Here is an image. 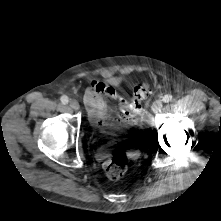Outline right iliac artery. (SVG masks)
<instances>
[{"instance_id":"82829eb1","label":"right iliac artery","mask_w":221,"mask_h":221,"mask_svg":"<svg viewBox=\"0 0 221 221\" xmlns=\"http://www.w3.org/2000/svg\"><path fill=\"white\" fill-rule=\"evenodd\" d=\"M60 100H61V102L63 103V104H67L68 102H69V99H68V97L67 96H62L61 98H60Z\"/></svg>"}]
</instances>
